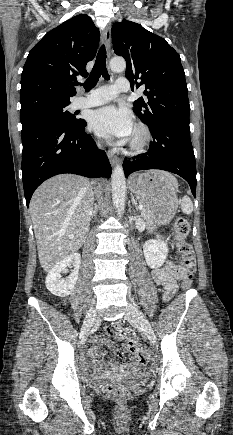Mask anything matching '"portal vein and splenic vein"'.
<instances>
[{
    "label": "portal vein and splenic vein",
    "instance_id": "18ae733b",
    "mask_svg": "<svg viewBox=\"0 0 233 435\" xmlns=\"http://www.w3.org/2000/svg\"><path fill=\"white\" fill-rule=\"evenodd\" d=\"M143 207H144L143 205H139L138 208H139V210H141V209H143ZM70 238H74V236L72 235V236H70Z\"/></svg>",
    "mask_w": 233,
    "mask_h": 435
}]
</instances>
